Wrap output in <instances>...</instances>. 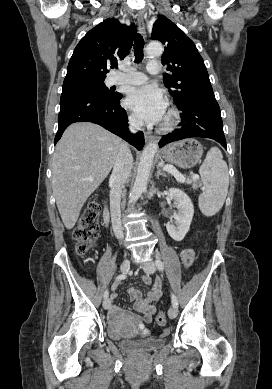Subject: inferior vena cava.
<instances>
[{"mask_svg": "<svg viewBox=\"0 0 272 389\" xmlns=\"http://www.w3.org/2000/svg\"><path fill=\"white\" fill-rule=\"evenodd\" d=\"M129 129L131 132L135 133L137 130H140L143 122L129 117ZM133 164V157L130 152V149L127 147L126 143L122 142L118 150L112 174L109 180L110 190V212H111V221L112 228L115 236L121 240L124 237L122 223H121V210L120 202L122 189L126 180L128 179Z\"/></svg>", "mask_w": 272, "mask_h": 389, "instance_id": "obj_1", "label": "inferior vena cava"}]
</instances>
